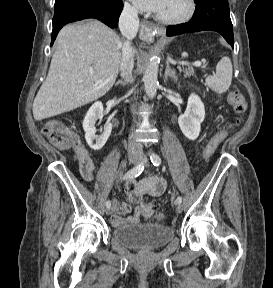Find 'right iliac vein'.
I'll return each instance as SVG.
<instances>
[{
    "label": "right iliac vein",
    "instance_id": "63e3f726",
    "mask_svg": "<svg viewBox=\"0 0 273 288\" xmlns=\"http://www.w3.org/2000/svg\"><path fill=\"white\" fill-rule=\"evenodd\" d=\"M129 162L132 163V164H136V163L138 162V160H137V158L131 157V158L129 159ZM112 211H113V210H112L111 207H107L106 210H105V212H106L107 215H110V214L112 213Z\"/></svg>",
    "mask_w": 273,
    "mask_h": 288
}]
</instances>
